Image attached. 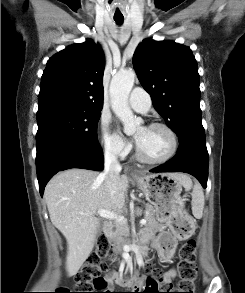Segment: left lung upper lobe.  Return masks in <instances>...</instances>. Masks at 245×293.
Segmentation results:
<instances>
[{"label": "left lung upper lobe", "instance_id": "5c2ea615", "mask_svg": "<svg viewBox=\"0 0 245 293\" xmlns=\"http://www.w3.org/2000/svg\"><path fill=\"white\" fill-rule=\"evenodd\" d=\"M133 65L153 106L183 140L205 141L200 109L198 66L189 47L173 41L144 40Z\"/></svg>", "mask_w": 245, "mask_h": 293}]
</instances>
